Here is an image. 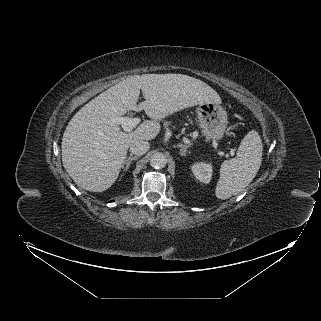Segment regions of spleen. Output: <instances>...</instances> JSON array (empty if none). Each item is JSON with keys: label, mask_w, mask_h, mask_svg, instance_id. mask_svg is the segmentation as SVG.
Masks as SVG:
<instances>
[{"label": "spleen", "mask_w": 321, "mask_h": 321, "mask_svg": "<svg viewBox=\"0 0 321 321\" xmlns=\"http://www.w3.org/2000/svg\"><path fill=\"white\" fill-rule=\"evenodd\" d=\"M262 151L259 134L254 130L249 131L241 141L237 156L221 164L215 190L218 199L224 200L237 195L250 184L260 168Z\"/></svg>", "instance_id": "3e777b00"}]
</instances>
